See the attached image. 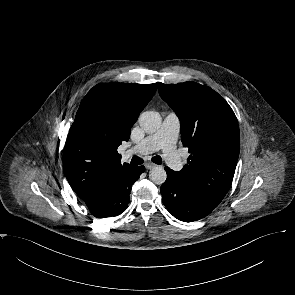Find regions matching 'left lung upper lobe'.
Returning a JSON list of instances; mask_svg holds the SVG:
<instances>
[{
	"label": "left lung upper lobe",
	"mask_w": 295,
	"mask_h": 295,
	"mask_svg": "<svg viewBox=\"0 0 295 295\" xmlns=\"http://www.w3.org/2000/svg\"><path fill=\"white\" fill-rule=\"evenodd\" d=\"M158 90L179 117L181 140L191 154L177 174L197 198L215 208L231 186L239 156L237 118L225 99L207 86L160 83Z\"/></svg>",
	"instance_id": "5c2ea615"
}]
</instances>
